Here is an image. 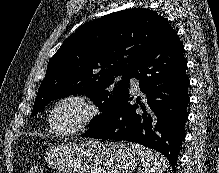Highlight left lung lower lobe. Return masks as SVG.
<instances>
[{
    "label": "left lung lower lobe",
    "instance_id": "left-lung-lower-lobe-1",
    "mask_svg": "<svg viewBox=\"0 0 219 173\" xmlns=\"http://www.w3.org/2000/svg\"><path fill=\"white\" fill-rule=\"evenodd\" d=\"M184 46L177 33L140 57L131 77L139 80L143 102L130 104L126 95L100 128L82 136L136 142L162 153L175 171L181 142L185 138L186 106L189 102Z\"/></svg>",
    "mask_w": 219,
    "mask_h": 173
}]
</instances>
